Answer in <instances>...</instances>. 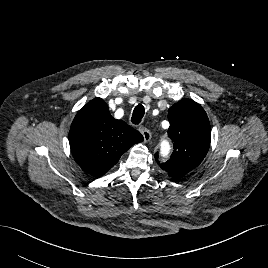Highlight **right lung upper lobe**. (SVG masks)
Segmentation results:
<instances>
[{
  "mask_svg": "<svg viewBox=\"0 0 268 268\" xmlns=\"http://www.w3.org/2000/svg\"><path fill=\"white\" fill-rule=\"evenodd\" d=\"M143 136L122 120L114 119L107 104L95 98L75 116L69 131L72 155L83 171L104 175Z\"/></svg>",
  "mask_w": 268,
  "mask_h": 268,
  "instance_id": "cb5924a9",
  "label": "right lung upper lobe"
}]
</instances>
